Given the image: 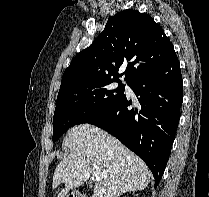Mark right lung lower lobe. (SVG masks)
<instances>
[{
	"label": "right lung lower lobe",
	"instance_id": "right-lung-lower-lobe-1",
	"mask_svg": "<svg viewBox=\"0 0 209 197\" xmlns=\"http://www.w3.org/2000/svg\"><path fill=\"white\" fill-rule=\"evenodd\" d=\"M138 107L124 95L87 123L107 131L150 168L157 187L164 173L183 101L180 64L174 53L159 67L128 84Z\"/></svg>",
	"mask_w": 209,
	"mask_h": 197
}]
</instances>
